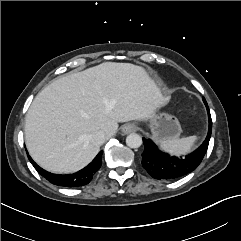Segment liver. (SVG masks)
<instances>
[{"instance_id": "liver-1", "label": "liver", "mask_w": 241, "mask_h": 241, "mask_svg": "<svg viewBox=\"0 0 241 241\" xmlns=\"http://www.w3.org/2000/svg\"><path fill=\"white\" fill-rule=\"evenodd\" d=\"M163 104L144 68L102 63L62 76L37 94L26 115V146L45 170L74 173L100 150L91 142V134L103 131L109 139L118 123L150 119Z\"/></svg>"}]
</instances>
